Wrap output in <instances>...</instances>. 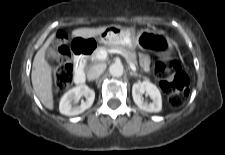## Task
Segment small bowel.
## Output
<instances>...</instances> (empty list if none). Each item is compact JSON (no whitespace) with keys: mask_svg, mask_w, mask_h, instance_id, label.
Here are the masks:
<instances>
[{"mask_svg":"<svg viewBox=\"0 0 225 155\" xmlns=\"http://www.w3.org/2000/svg\"><path fill=\"white\" fill-rule=\"evenodd\" d=\"M140 64H141V66H142L144 69H147V68H148L149 60H148L147 56L142 55V56L140 57Z\"/></svg>","mask_w":225,"mask_h":155,"instance_id":"c3829d8e","label":"small bowel"}]
</instances>
